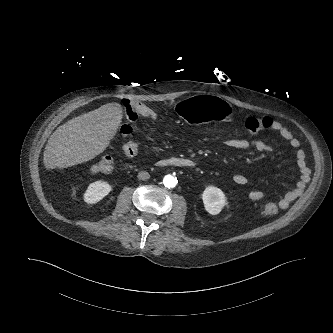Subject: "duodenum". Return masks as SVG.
<instances>
[{"label": "duodenum", "mask_w": 333, "mask_h": 333, "mask_svg": "<svg viewBox=\"0 0 333 333\" xmlns=\"http://www.w3.org/2000/svg\"><path fill=\"white\" fill-rule=\"evenodd\" d=\"M157 165L160 167L193 168L195 162L188 158L170 157L158 161Z\"/></svg>", "instance_id": "410a0bca"}]
</instances>
